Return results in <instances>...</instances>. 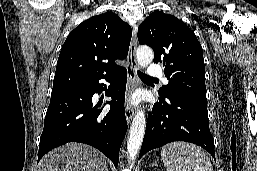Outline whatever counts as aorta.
<instances>
[{
  "mask_svg": "<svg viewBox=\"0 0 257 171\" xmlns=\"http://www.w3.org/2000/svg\"><path fill=\"white\" fill-rule=\"evenodd\" d=\"M137 62L141 67L148 66L153 61V51L148 46H139L136 51ZM146 126L145 113L138 110L130 128V136L127 142L129 160L134 161L141 147Z\"/></svg>",
  "mask_w": 257,
  "mask_h": 171,
  "instance_id": "762f6f07",
  "label": "aorta"
}]
</instances>
